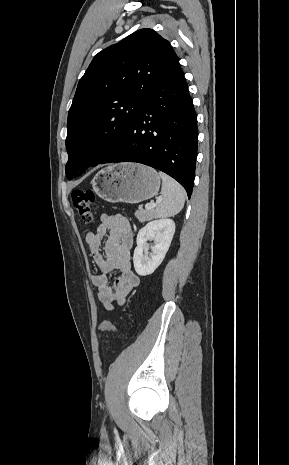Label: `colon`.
<instances>
[{"label": "colon", "mask_w": 289, "mask_h": 465, "mask_svg": "<svg viewBox=\"0 0 289 465\" xmlns=\"http://www.w3.org/2000/svg\"><path fill=\"white\" fill-rule=\"evenodd\" d=\"M73 206L84 223L93 220V204L96 199L95 192L91 189H77L71 195ZM105 332H114L123 335L111 322L103 321L99 326V335Z\"/></svg>", "instance_id": "obj_1"}]
</instances>
